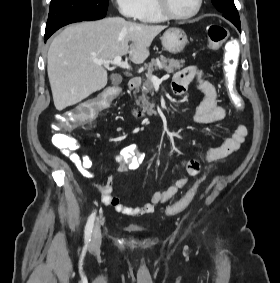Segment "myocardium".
I'll return each mask as SVG.
<instances>
[{"label": "myocardium", "mask_w": 280, "mask_h": 283, "mask_svg": "<svg viewBox=\"0 0 280 283\" xmlns=\"http://www.w3.org/2000/svg\"><path fill=\"white\" fill-rule=\"evenodd\" d=\"M155 7L159 14L166 20L181 21L195 17L201 10L203 0H197L196 7L193 11L187 14L179 15L173 13L167 5L166 0H154Z\"/></svg>", "instance_id": "f54148a6"}]
</instances>
